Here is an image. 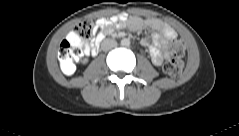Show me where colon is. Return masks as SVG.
<instances>
[{"label":"colon","mask_w":239,"mask_h":136,"mask_svg":"<svg viewBox=\"0 0 239 136\" xmlns=\"http://www.w3.org/2000/svg\"><path fill=\"white\" fill-rule=\"evenodd\" d=\"M97 23L95 19H87L78 23L75 27V35L79 42H84L89 39L96 29ZM184 43L180 40L172 42L173 57L164 65V71L170 77L176 78L183 71V55ZM81 55V48L78 43L72 42L69 39L61 42L58 51L59 65L63 72L67 75L72 74L75 68V63Z\"/></svg>","instance_id":"colon-1"}]
</instances>
